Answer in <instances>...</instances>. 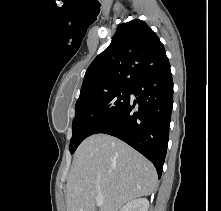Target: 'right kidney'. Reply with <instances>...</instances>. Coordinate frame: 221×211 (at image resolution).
Here are the masks:
<instances>
[{"label":"right kidney","instance_id":"obj_1","mask_svg":"<svg viewBox=\"0 0 221 211\" xmlns=\"http://www.w3.org/2000/svg\"><path fill=\"white\" fill-rule=\"evenodd\" d=\"M149 201L146 198L134 199L125 204L119 211H148Z\"/></svg>","mask_w":221,"mask_h":211}]
</instances>
